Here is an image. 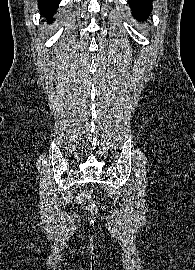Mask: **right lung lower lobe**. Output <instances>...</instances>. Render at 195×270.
Wrapping results in <instances>:
<instances>
[{"label":"right lung lower lobe","instance_id":"1","mask_svg":"<svg viewBox=\"0 0 195 270\" xmlns=\"http://www.w3.org/2000/svg\"><path fill=\"white\" fill-rule=\"evenodd\" d=\"M61 0H38V5L41 11V14L47 16L48 22H52L53 18L51 14L54 13L59 5Z\"/></svg>","mask_w":195,"mask_h":270}]
</instances>
